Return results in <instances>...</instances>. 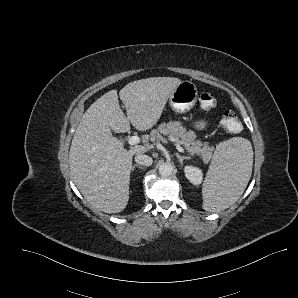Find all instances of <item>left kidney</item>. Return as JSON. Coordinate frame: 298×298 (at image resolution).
Wrapping results in <instances>:
<instances>
[{"label": "left kidney", "mask_w": 298, "mask_h": 298, "mask_svg": "<svg viewBox=\"0 0 298 298\" xmlns=\"http://www.w3.org/2000/svg\"><path fill=\"white\" fill-rule=\"evenodd\" d=\"M184 174L193 185H200L203 181V172L198 167L187 165L184 167Z\"/></svg>", "instance_id": "1"}]
</instances>
